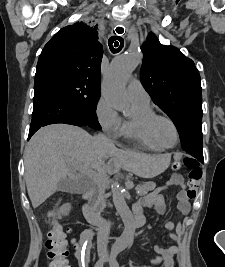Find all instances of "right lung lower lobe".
Listing matches in <instances>:
<instances>
[{
	"instance_id": "obj_1",
	"label": "right lung lower lobe",
	"mask_w": 225,
	"mask_h": 267,
	"mask_svg": "<svg viewBox=\"0 0 225 267\" xmlns=\"http://www.w3.org/2000/svg\"><path fill=\"white\" fill-rule=\"evenodd\" d=\"M34 108L28 140L42 126L65 123L89 126L84 116L69 102L66 96L44 78L35 79Z\"/></svg>"
}]
</instances>
